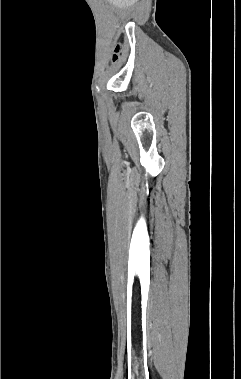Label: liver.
<instances>
[{"label": "liver", "mask_w": 241, "mask_h": 379, "mask_svg": "<svg viewBox=\"0 0 241 379\" xmlns=\"http://www.w3.org/2000/svg\"><path fill=\"white\" fill-rule=\"evenodd\" d=\"M113 2L120 7H125L132 5L135 0H113Z\"/></svg>", "instance_id": "1"}]
</instances>
